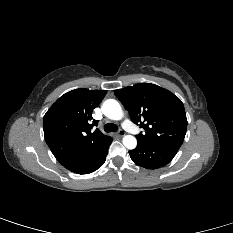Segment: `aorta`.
<instances>
[{"mask_svg": "<svg viewBox=\"0 0 233 233\" xmlns=\"http://www.w3.org/2000/svg\"><path fill=\"white\" fill-rule=\"evenodd\" d=\"M102 112L111 120H121L123 118L121 106L114 99H108L103 103ZM122 142L124 146L130 150L135 149L137 146V139L132 135L124 136Z\"/></svg>", "mask_w": 233, "mask_h": 233, "instance_id": "762f6f07", "label": "aorta"}]
</instances>
